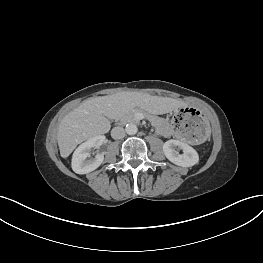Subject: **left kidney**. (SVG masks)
Wrapping results in <instances>:
<instances>
[{
  "label": "left kidney",
  "mask_w": 263,
  "mask_h": 263,
  "mask_svg": "<svg viewBox=\"0 0 263 263\" xmlns=\"http://www.w3.org/2000/svg\"><path fill=\"white\" fill-rule=\"evenodd\" d=\"M176 147L181 149L183 153L179 154ZM163 152L170 162L178 166L191 167L199 161V156L196 150L179 140L171 139L166 141L163 145Z\"/></svg>",
  "instance_id": "1"
}]
</instances>
